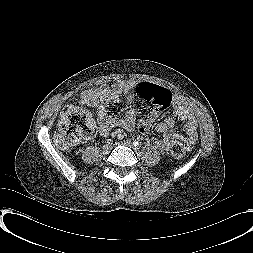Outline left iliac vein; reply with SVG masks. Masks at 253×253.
<instances>
[{
  "label": "left iliac vein",
  "instance_id": "1",
  "mask_svg": "<svg viewBox=\"0 0 253 253\" xmlns=\"http://www.w3.org/2000/svg\"><path fill=\"white\" fill-rule=\"evenodd\" d=\"M117 144H120V143H115V145ZM121 144L125 145V146H128L130 148H133L134 150H136L137 148L133 147L132 143L130 140H127V141H124V142H121Z\"/></svg>",
  "mask_w": 253,
  "mask_h": 253
}]
</instances>
